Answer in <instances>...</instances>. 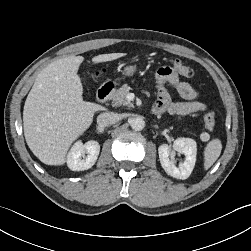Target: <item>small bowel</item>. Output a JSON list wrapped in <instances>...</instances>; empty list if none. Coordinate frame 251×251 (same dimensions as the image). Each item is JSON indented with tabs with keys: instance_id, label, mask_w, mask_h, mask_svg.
<instances>
[{
	"instance_id": "1",
	"label": "small bowel",
	"mask_w": 251,
	"mask_h": 251,
	"mask_svg": "<svg viewBox=\"0 0 251 251\" xmlns=\"http://www.w3.org/2000/svg\"><path fill=\"white\" fill-rule=\"evenodd\" d=\"M157 101L153 106L155 114L168 112L171 115H188L205 110L206 105L197 100V90L188 82L181 81L178 73L169 67L160 68L156 74ZM168 83L175 87L184 102H172L165 88Z\"/></svg>"
}]
</instances>
